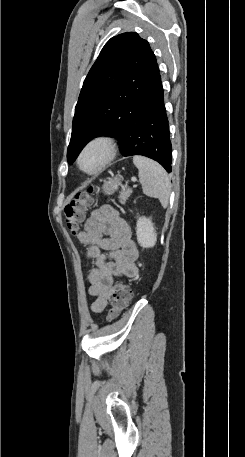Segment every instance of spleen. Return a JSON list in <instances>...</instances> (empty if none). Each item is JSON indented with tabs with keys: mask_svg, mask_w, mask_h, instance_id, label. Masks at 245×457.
<instances>
[{
	"mask_svg": "<svg viewBox=\"0 0 245 457\" xmlns=\"http://www.w3.org/2000/svg\"><path fill=\"white\" fill-rule=\"evenodd\" d=\"M133 162L138 168V176L144 194L159 198L163 208H166L169 204L171 186L165 168L152 158L139 156V154H134Z\"/></svg>",
	"mask_w": 245,
	"mask_h": 457,
	"instance_id": "1",
	"label": "spleen"
}]
</instances>
